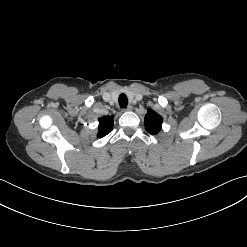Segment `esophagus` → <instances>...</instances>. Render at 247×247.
Masks as SVG:
<instances>
[{"instance_id":"esophagus-1","label":"esophagus","mask_w":247,"mask_h":247,"mask_svg":"<svg viewBox=\"0 0 247 247\" xmlns=\"http://www.w3.org/2000/svg\"><path fill=\"white\" fill-rule=\"evenodd\" d=\"M132 110V106L129 105L128 107L126 108H123V112H126V111H131Z\"/></svg>"}]
</instances>
